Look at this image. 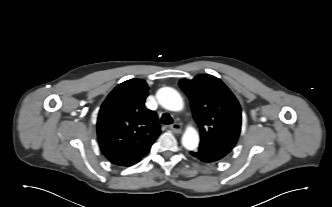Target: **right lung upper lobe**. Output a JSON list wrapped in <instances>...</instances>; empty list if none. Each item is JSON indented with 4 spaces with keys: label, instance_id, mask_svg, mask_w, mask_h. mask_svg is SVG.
Listing matches in <instances>:
<instances>
[{
    "label": "right lung upper lobe",
    "instance_id": "obj_1",
    "mask_svg": "<svg viewBox=\"0 0 332 207\" xmlns=\"http://www.w3.org/2000/svg\"><path fill=\"white\" fill-rule=\"evenodd\" d=\"M148 89L144 80H127L114 88L101 106L99 146L116 165L128 167L139 162L160 134L156 113L144 105Z\"/></svg>",
    "mask_w": 332,
    "mask_h": 207
}]
</instances>
